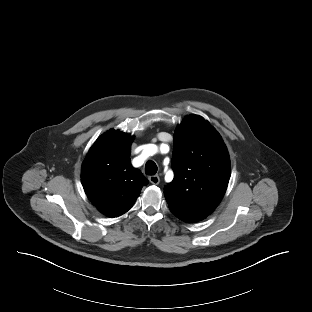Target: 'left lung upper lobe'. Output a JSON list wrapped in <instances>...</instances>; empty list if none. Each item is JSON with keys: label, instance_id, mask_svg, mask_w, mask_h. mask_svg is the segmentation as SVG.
Instances as JSON below:
<instances>
[{"label": "left lung upper lobe", "instance_id": "left-lung-upper-lobe-1", "mask_svg": "<svg viewBox=\"0 0 312 312\" xmlns=\"http://www.w3.org/2000/svg\"><path fill=\"white\" fill-rule=\"evenodd\" d=\"M172 166L174 179L164 188L170 211L188 223L206 218L225 194L231 167L221 136L201 116L176 128Z\"/></svg>", "mask_w": 312, "mask_h": 312}]
</instances>
